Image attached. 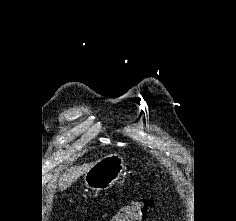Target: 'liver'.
Returning <instances> with one entry per match:
<instances>
[{
    "label": "liver",
    "mask_w": 236,
    "mask_h": 221,
    "mask_svg": "<svg viewBox=\"0 0 236 221\" xmlns=\"http://www.w3.org/2000/svg\"><path fill=\"white\" fill-rule=\"evenodd\" d=\"M94 163L83 164L81 166H75L70 168L62 177L60 186L66 188L76 181L80 176L85 174Z\"/></svg>",
    "instance_id": "liver-1"
}]
</instances>
